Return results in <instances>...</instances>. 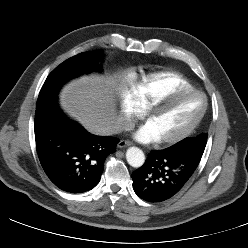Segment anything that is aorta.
I'll return each mask as SVG.
<instances>
[{"label":"aorta","mask_w":248,"mask_h":248,"mask_svg":"<svg viewBox=\"0 0 248 248\" xmlns=\"http://www.w3.org/2000/svg\"><path fill=\"white\" fill-rule=\"evenodd\" d=\"M126 159L130 166L139 168L144 164L145 155L141 149L130 147L127 149Z\"/></svg>","instance_id":"762f6f07"}]
</instances>
